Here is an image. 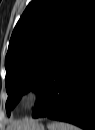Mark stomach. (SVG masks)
<instances>
[{"label":"stomach","mask_w":95,"mask_h":130,"mask_svg":"<svg viewBox=\"0 0 95 130\" xmlns=\"http://www.w3.org/2000/svg\"><path fill=\"white\" fill-rule=\"evenodd\" d=\"M12 130H45V127L37 121H29L23 124L21 128Z\"/></svg>","instance_id":"stomach-1"}]
</instances>
